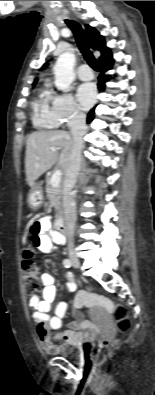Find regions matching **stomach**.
<instances>
[{"label": "stomach", "instance_id": "obj_1", "mask_svg": "<svg viewBox=\"0 0 155 395\" xmlns=\"http://www.w3.org/2000/svg\"><path fill=\"white\" fill-rule=\"evenodd\" d=\"M43 200V195L41 191V183H34L31 186V192L29 195V205L32 208H38Z\"/></svg>", "mask_w": 155, "mask_h": 395}]
</instances>
